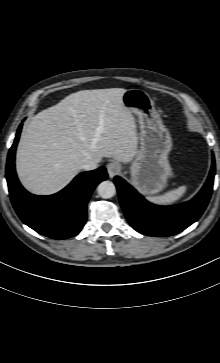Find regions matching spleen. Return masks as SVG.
Returning a JSON list of instances; mask_svg holds the SVG:
<instances>
[{
  "instance_id": "1",
  "label": "spleen",
  "mask_w": 220,
  "mask_h": 363,
  "mask_svg": "<svg viewBox=\"0 0 220 363\" xmlns=\"http://www.w3.org/2000/svg\"><path fill=\"white\" fill-rule=\"evenodd\" d=\"M186 186H180L175 190H171L163 195L149 197L148 200L156 205H170L179 200L186 192Z\"/></svg>"
}]
</instances>
